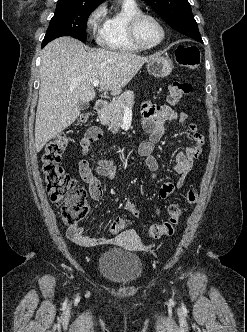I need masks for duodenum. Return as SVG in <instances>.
Masks as SVG:
<instances>
[{
  "mask_svg": "<svg viewBox=\"0 0 247 332\" xmlns=\"http://www.w3.org/2000/svg\"><path fill=\"white\" fill-rule=\"evenodd\" d=\"M107 108V103L103 100H100L96 103L94 107V112L98 117H101Z\"/></svg>",
  "mask_w": 247,
  "mask_h": 332,
  "instance_id": "410a0bca",
  "label": "duodenum"
}]
</instances>
